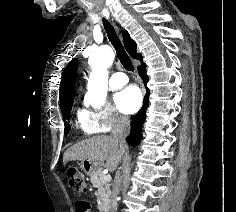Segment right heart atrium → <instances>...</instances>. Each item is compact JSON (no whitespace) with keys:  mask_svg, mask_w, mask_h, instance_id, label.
<instances>
[{"mask_svg":"<svg viewBox=\"0 0 236 212\" xmlns=\"http://www.w3.org/2000/svg\"><path fill=\"white\" fill-rule=\"evenodd\" d=\"M78 119L82 131L87 135L109 132L127 121L126 117L111 105H106L100 110L82 109Z\"/></svg>","mask_w":236,"mask_h":212,"instance_id":"1","label":"right heart atrium"}]
</instances>
